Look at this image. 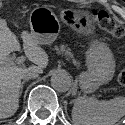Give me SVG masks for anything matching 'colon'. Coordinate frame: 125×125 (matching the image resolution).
Returning a JSON list of instances; mask_svg holds the SVG:
<instances>
[{"instance_id":"obj_1","label":"colon","mask_w":125,"mask_h":125,"mask_svg":"<svg viewBox=\"0 0 125 125\" xmlns=\"http://www.w3.org/2000/svg\"><path fill=\"white\" fill-rule=\"evenodd\" d=\"M90 19L98 24L105 32L116 39L125 38V28L115 22V20L104 10L94 9L90 12ZM118 82L125 87V69L118 76Z\"/></svg>"}]
</instances>
